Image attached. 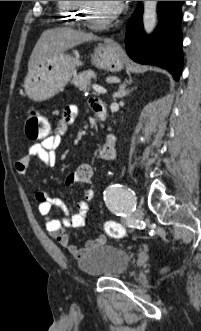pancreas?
Returning <instances> with one entry per match:
<instances>
[{"mask_svg": "<svg viewBox=\"0 0 201 331\" xmlns=\"http://www.w3.org/2000/svg\"><path fill=\"white\" fill-rule=\"evenodd\" d=\"M95 74L92 71H84L74 77L72 83L81 91H86L91 82V78H94Z\"/></svg>", "mask_w": 201, "mask_h": 331, "instance_id": "obj_1", "label": "pancreas"}]
</instances>
